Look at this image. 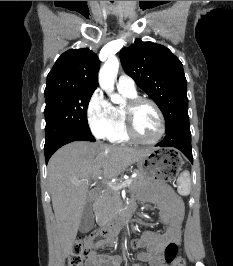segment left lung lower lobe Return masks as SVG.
<instances>
[{
  "label": "left lung lower lobe",
  "instance_id": "0a47b994",
  "mask_svg": "<svg viewBox=\"0 0 233 266\" xmlns=\"http://www.w3.org/2000/svg\"><path fill=\"white\" fill-rule=\"evenodd\" d=\"M156 146L175 147L193 163L188 111L179 114L170 125L166 127L165 138L157 143Z\"/></svg>",
  "mask_w": 233,
  "mask_h": 266
}]
</instances>
